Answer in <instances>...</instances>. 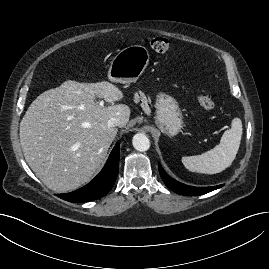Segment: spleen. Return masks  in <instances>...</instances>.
<instances>
[{"instance_id": "1", "label": "spleen", "mask_w": 269, "mask_h": 269, "mask_svg": "<svg viewBox=\"0 0 269 269\" xmlns=\"http://www.w3.org/2000/svg\"><path fill=\"white\" fill-rule=\"evenodd\" d=\"M242 122L234 118L231 128L226 130L220 143L201 155L182 157L183 165L192 172L204 174L220 173L234 161L242 137Z\"/></svg>"}]
</instances>
